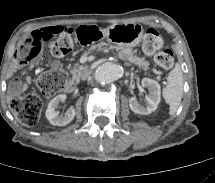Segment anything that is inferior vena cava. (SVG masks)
Here are the masks:
<instances>
[{
	"instance_id": "obj_1",
	"label": "inferior vena cava",
	"mask_w": 215,
	"mask_h": 183,
	"mask_svg": "<svg viewBox=\"0 0 215 183\" xmlns=\"http://www.w3.org/2000/svg\"><path fill=\"white\" fill-rule=\"evenodd\" d=\"M91 70H89V69H86V70H84L83 72H82V74H81V79L82 80H86V79H88L90 76H91Z\"/></svg>"
}]
</instances>
